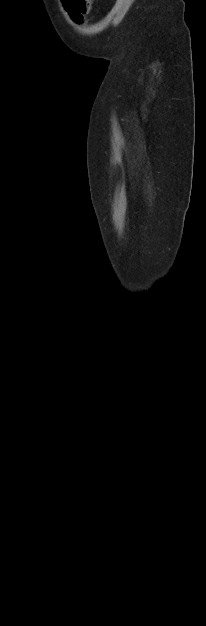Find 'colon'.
Masks as SVG:
<instances>
[{"instance_id":"colon-1","label":"colon","mask_w":206,"mask_h":626,"mask_svg":"<svg viewBox=\"0 0 206 626\" xmlns=\"http://www.w3.org/2000/svg\"><path fill=\"white\" fill-rule=\"evenodd\" d=\"M65 9L76 21L81 23L89 13L93 0H62Z\"/></svg>"}]
</instances>
